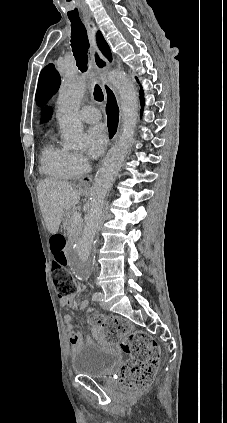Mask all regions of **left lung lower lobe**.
<instances>
[{
	"label": "left lung lower lobe",
	"mask_w": 227,
	"mask_h": 423,
	"mask_svg": "<svg viewBox=\"0 0 227 423\" xmlns=\"http://www.w3.org/2000/svg\"><path fill=\"white\" fill-rule=\"evenodd\" d=\"M139 93H140V101H141V107H142L141 112H142L143 111V106H144L143 91L140 90Z\"/></svg>",
	"instance_id": "0a47b994"
}]
</instances>
